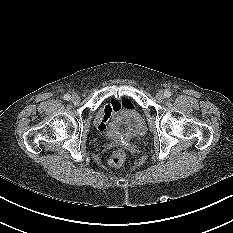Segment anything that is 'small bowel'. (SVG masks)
<instances>
[{
  "mask_svg": "<svg viewBox=\"0 0 233 233\" xmlns=\"http://www.w3.org/2000/svg\"><path fill=\"white\" fill-rule=\"evenodd\" d=\"M132 107V102L128 98H111L110 101L103 105L96 114L95 124L97 128L101 132L106 131L109 121L114 119L121 109Z\"/></svg>",
  "mask_w": 233,
  "mask_h": 233,
  "instance_id": "c3829d8e",
  "label": "small bowel"
}]
</instances>
